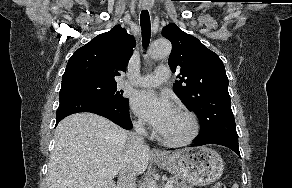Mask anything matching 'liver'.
<instances>
[{
	"label": "liver",
	"mask_w": 292,
	"mask_h": 188,
	"mask_svg": "<svg viewBox=\"0 0 292 188\" xmlns=\"http://www.w3.org/2000/svg\"><path fill=\"white\" fill-rule=\"evenodd\" d=\"M128 133L108 119L77 113L55 130L47 188H108L120 168L130 162L137 175L149 162V148L131 150Z\"/></svg>",
	"instance_id": "obj_1"
}]
</instances>
